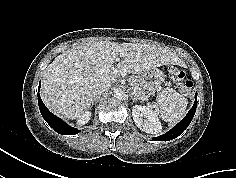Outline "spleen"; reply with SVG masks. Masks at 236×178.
<instances>
[{
	"instance_id": "3e777b00",
	"label": "spleen",
	"mask_w": 236,
	"mask_h": 178,
	"mask_svg": "<svg viewBox=\"0 0 236 178\" xmlns=\"http://www.w3.org/2000/svg\"><path fill=\"white\" fill-rule=\"evenodd\" d=\"M187 99L173 88L166 87L157 95L154 113L162 120L176 124L187 113Z\"/></svg>"
}]
</instances>
